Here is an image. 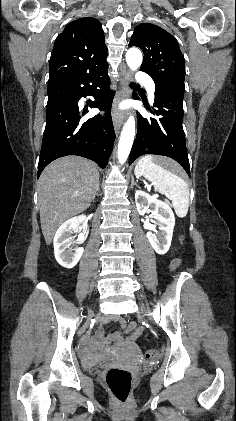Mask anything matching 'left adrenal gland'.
<instances>
[{"instance_id":"left-adrenal-gland-1","label":"left adrenal gland","mask_w":236,"mask_h":421,"mask_svg":"<svg viewBox=\"0 0 236 421\" xmlns=\"http://www.w3.org/2000/svg\"><path fill=\"white\" fill-rule=\"evenodd\" d=\"M134 184H136V186H138L137 182H134V176H133V174H131V184H130V188H132V186H134Z\"/></svg>"}]
</instances>
